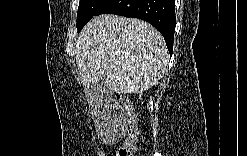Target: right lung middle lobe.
<instances>
[{
  "label": "right lung middle lobe",
  "mask_w": 247,
  "mask_h": 156,
  "mask_svg": "<svg viewBox=\"0 0 247 156\" xmlns=\"http://www.w3.org/2000/svg\"><path fill=\"white\" fill-rule=\"evenodd\" d=\"M106 2L107 0H80L76 24L78 32L93 16L98 14Z\"/></svg>",
  "instance_id": "dd1d6c3e"
}]
</instances>
